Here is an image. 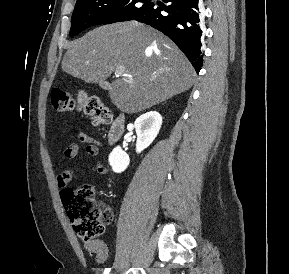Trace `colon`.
Here are the masks:
<instances>
[{
  "mask_svg": "<svg viewBox=\"0 0 289 274\" xmlns=\"http://www.w3.org/2000/svg\"><path fill=\"white\" fill-rule=\"evenodd\" d=\"M52 106L60 112L80 110L91 117L95 125H107L112 119L111 111L98 97L80 93L75 98L62 89L51 91ZM62 201L75 232L85 241L96 240L103 235L113 219V212L105 203L95 199V190L84 184L76 189L65 188Z\"/></svg>",
  "mask_w": 289,
  "mask_h": 274,
  "instance_id": "colon-1",
  "label": "colon"
}]
</instances>
